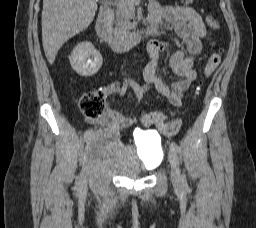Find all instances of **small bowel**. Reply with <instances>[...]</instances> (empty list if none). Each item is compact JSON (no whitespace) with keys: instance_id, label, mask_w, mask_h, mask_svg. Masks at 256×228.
I'll list each match as a JSON object with an SVG mask.
<instances>
[{"instance_id":"c3829d8e","label":"small bowel","mask_w":256,"mask_h":228,"mask_svg":"<svg viewBox=\"0 0 256 228\" xmlns=\"http://www.w3.org/2000/svg\"><path fill=\"white\" fill-rule=\"evenodd\" d=\"M164 21L174 28L176 34L184 41L188 49L187 55L178 51L169 59V68L180 79L168 85L160 76L158 71L159 59L161 53L167 48V43L152 39L147 44L150 60L144 69L145 83L138 84L133 80H125L123 83L113 82L103 89L106 97L115 94L123 96L128 90H131L141 100L150 89H154L157 93L166 97L172 105L178 107L182 104L184 92L197 77L194 65L196 59L202 53V40L207 30L201 16L193 8L161 5L153 2L149 13L151 26L154 30H157ZM90 122L117 132L123 128L133 126L136 123V118L108 109L100 117L90 119ZM176 127V122H168L157 126L158 130L166 135L173 133Z\"/></svg>"}]
</instances>
